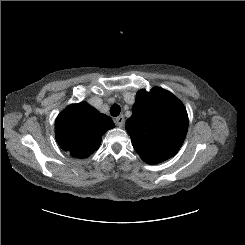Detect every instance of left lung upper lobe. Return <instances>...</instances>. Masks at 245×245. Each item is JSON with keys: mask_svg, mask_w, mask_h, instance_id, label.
<instances>
[{"mask_svg": "<svg viewBox=\"0 0 245 245\" xmlns=\"http://www.w3.org/2000/svg\"><path fill=\"white\" fill-rule=\"evenodd\" d=\"M134 149L148 164L161 163L182 146L188 115L182 102L162 88L142 89L136 96L132 116L126 122Z\"/></svg>", "mask_w": 245, "mask_h": 245, "instance_id": "5c2ea615", "label": "left lung upper lobe"}]
</instances>
